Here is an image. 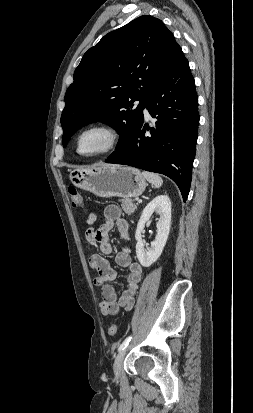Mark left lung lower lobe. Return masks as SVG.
<instances>
[{
  "mask_svg": "<svg viewBox=\"0 0 253 413\" xmlns=\"http://www.w3.org/2000/svg\"><path fill=\"white\" fill-rule=\"evenodd\" d=\"M145 107L155 119L143 125L144 116L129 145L106 162L124 164L171 178L186 201L191 184L199 124L195 81L181 48ZM150 129V135L146 130Z\"/></svg>",
  "mask_w": 253,
  "mask_h": 413,
  "instance_id": "obj_1",
  "label": "left lung lower lobe"
}]
</instances>
